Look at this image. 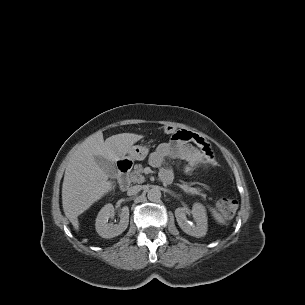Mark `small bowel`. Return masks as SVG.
I'll list each match as a JSON object with an SVG mask.
<instances>
[{
	"instance_id": "obj_1",
	"label": "small bowel",
	"mask_w": 305,
	"mask_h": 305,
	"mask_svg": "<svg viewBox=\"0 0 305 305\" xmlns=\"http://www.w3.org/2000/svg\"><path fill=\"white\" fill-rule=\"evenodd\" d=\"M183 137H173L169 142L159 145L150 155V164L154 167H162L160 179L171 182L173 171L165 166L169 159L185 161L190 167L212 168L216 165L210 146L204 138L196 133L181 130Z\"/></svg>"
}]
</instances>
